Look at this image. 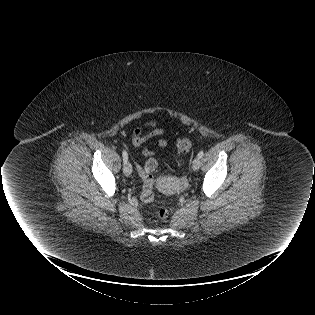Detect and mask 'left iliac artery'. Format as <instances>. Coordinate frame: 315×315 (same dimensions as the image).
I'll return each instance as SVG.
<instances>
[{"label": "left iliac artery", "mask_w": 315, "mask_h": 315, "mask_svg": "<svg viewBox=\"0 0 315 315\" xmlns=\"http://www.w3.org/2000/svg\"><path fill=\"white\" fill-rule=\"evenodd\" d=\"M203 155H204V151L201 150V151L198 153V157H199V158H202Z\"/></svg>", "instance_id": "left-iliac-artery-1"}]
</instances>
